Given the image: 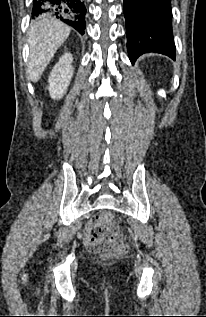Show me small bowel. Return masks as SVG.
<instances>
[{"instance_id":"1","label":"small bowel","mask_w":206,"mask_h":317,"mask_svg":"<svg viewBox=\"0 0 206 317\" xmlns=\"http://www.w3.org/2000/svg\"><path fill=\"white\" fill-rule=\"evenodd\" d=\"M98 223H99V219L98 218H94L93 220L88 222V224L86 225L85 230H84V240H85V242H87V240L90 237V235L92 234V232L94 230H96V227L98 226Z\"/></svg>"}]
</instances>
